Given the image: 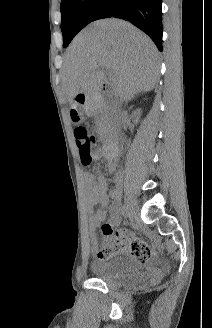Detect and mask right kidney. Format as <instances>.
Wrapping results in <instances>:
<instances>
[{"mask_svg": "<svg viewBox=\"0 0 212 328\" xmlns=\"http://www.w3.org/2000/svg\"><path fill=\"white\" fill-rule=\"evenodd\" d=\"M141 110L137 109L132 113L133 121L137 124L140 119Z\"/></svg>", "mask_w": 212, "mask_h": 328, "instance_id": "obj_1", "label": "right kidney"}]
</instances>
